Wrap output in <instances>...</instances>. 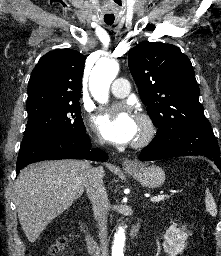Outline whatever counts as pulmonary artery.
<instances>
[{"label": "pulmonary artery", "mask_w": 221, "mask_h": 256, "mask_svg": "<svg viewBox=\"0 0 221 256\" xmlns=\"http://www.w3.org/2000/svg\"><path fill=\"white\" fill-rule=\"evenodd\" d=\"M129 90V82L124 78L116 79L111 86V93L117 98L126 97Z\"/></svg>", "instance_id": "obj_1"}]
</instances>
